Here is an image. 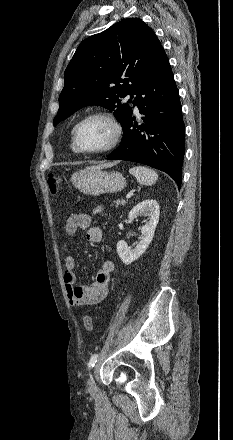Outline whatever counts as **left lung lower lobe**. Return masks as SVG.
Here are the masks:
<instances>
[{"instance_id":"0a47b994","label":"left lung lower lobe","mask_w":233,"mask_h":440,"mask_svg":"<svg viewBox=\"0 0 233 440\" xmlns=\"http://www.w3.org/2000/svg\"><path fill=\"white\" fill-rule=\"evenodd\" d=\"M134 105L143 114L138 126L130 116L123 126V140L107 159L146 164L170 175L181 187L185 153V125L179 92L164 51L135 92Z\"/></svg>"}]
</instances>
